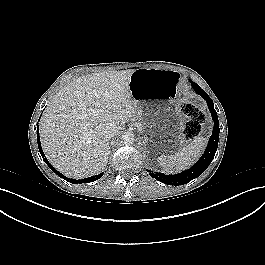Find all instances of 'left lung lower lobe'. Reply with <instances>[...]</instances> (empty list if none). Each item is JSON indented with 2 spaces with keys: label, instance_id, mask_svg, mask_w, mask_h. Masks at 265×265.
Instances as JSON below:
<instances>
[{
  "label": "left lung lower lobe",
  "instance_id": "0a47b994",
  "mask_svg": "<svg viewBox=\"0 0 265 265\" xmlns=\"http://www.w3.org/2000/svg\"><path fill=\"white\" fill-rule=\"evenodd\" d=\"M192 87L195 90V92L201 95L208 103V108L211 112L212 119L214 121L213 133L209 139L208 146L204 154L199 159V161L190 169L175 175H165L163 173L153 172L150 170L148 171L151 177L167 185H173V186L184 185L190 182L191 180L197 178L198 176H200L210 165L218 147L220 130H219V121L217 117V112L214 109L213 101L208 96V94L200 88L199 85L192 82Z\"/></svg>",
  "mask_w": 265,
  "mask_h": 265
}]
</instances>
